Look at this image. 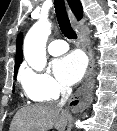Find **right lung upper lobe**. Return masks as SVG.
I'll use <instances>...</instances> for the list:
<instances>
[{"label": "right lung upper lobe", "mask_w": 117, "mask_h": 131, "mask_svg": "<svg viewBox=\"0 0 117 131\" xmlns=\"http://www.w3.org/2000/svg\"><path fill=\"white\" fill-rule=\"evenodd\" d=\"M68 4L70 8L72 9L73 13L76 15L78 19L82 17V5L79 0H68ZM22 42H23V36L20 33L17 36V49H16V60H15V68H14V75L17 74L18 68L23 60V54H22Z\"/></svg>", "instance_id": "1"}]
</instances>
